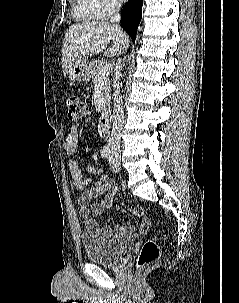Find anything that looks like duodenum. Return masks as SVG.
Here are the masks:
<instances>
[{"label":"duodenum","mask_w":239,"mask_h":303,"mask_svg":"<svg viewBox=\"0 0 239 303\" xmlns=\"http://www.w3.org/2000/svg\"><path fill=\"white\" fill-rule=\"evenodd\" d=\"M109 121H110V115L108 111H104L98 120V125L101 131H108L109 129Z\"/></svg>","instance_id":"obj_1"}]
</instances>
